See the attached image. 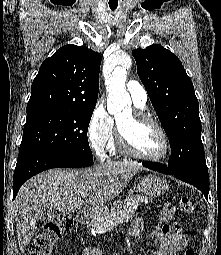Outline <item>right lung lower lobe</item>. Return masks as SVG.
<instances>
[{"mask_svg":"<svg viewBox=\"0 0 221 255\" xmlns=\"http://www.w3.org/2000/svg\"><path fill=\"white\" fill-rule=\"evenodd\" d=\"M93 160L62 155L58 153L24 150L19 152L13 178V195H17L22 184L44 170L58 167H87Z\"/></svg>","mask_w":221,"mask_h":255,"instance_id":"1","label":"right lung lower lobe"}]
</instances>
